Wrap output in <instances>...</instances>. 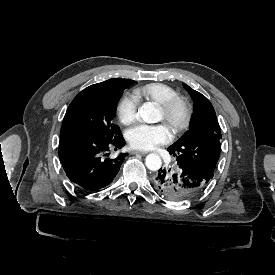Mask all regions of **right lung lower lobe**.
<instances>
[{"label":"right lung lower lobe","instance_id":"98d812e1","mask_svg":"<svg viewBox=\"0 0 275 275\" xmlns=\"http://www.w3.org/2000/svg\"><path fill=\"white\" fill-rule=\"evenodd\" d=\"M124 145L121 135L100 139L86 134H67L60 138L58 155L67 177L78 188L95 191L113 181L128 155L121 153L110 159L108 151Z\"/></svg>","mask_w":275,"mask_h":275}]
</instances>
